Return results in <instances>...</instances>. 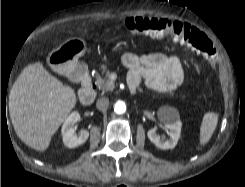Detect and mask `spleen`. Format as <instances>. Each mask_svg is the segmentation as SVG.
Listing matches in <instances>:
<instances>
[{
    "label": "spleen",
    "instance_id": "obj_1",
    "mask_svg": "<svg viewBox=\"0 0 245 187\" xmlns=\"http://www.w3.org/2000/svg\"><path fill=\"white\" fill-rule=\"evenodd\" d=\"M218 123V114L215 112H207L202 120L201 127H200V138L199 144L201 146L208 143L211 139L216 126Z\"/></svg>",
    "mask_w": 245,
    "mask_h": 187
}]
</instances>
